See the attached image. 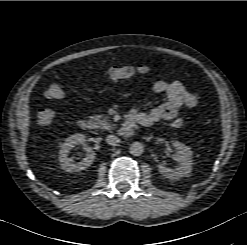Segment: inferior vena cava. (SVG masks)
Returning <instances> with one entry per match:
<instances>
[{"instance_id":"obj_1","label":"inferior vena cava","mask_w":247,"mask_h":245,"mask_svg":"<svg viewBox=\"0 0 247 245\" xmlns=\"http://www.w3.org/2000/svg\"><path fill=\"white\" fill-rule=\"evenodd\" d=\"M106 142L110 145L115 146L120 142V139L115 135H108L106 137Z\"/></svg>"}]
</instances>
